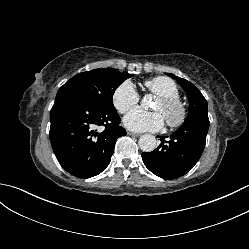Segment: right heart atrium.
Here are the masks:
<instances>
[{
  "mask_svg": "<svg viewBox=\"0 0 249 249\" xmlns=\"http://www.w3.org/2000/svg\"><path fill=\"white\" fill-rule=\"evenodd\" d=\"M139 99L140 96L130 81L122 82L112 94V104L119 113L127 112Z\"/></svg>",
  "mask_w": 249,
  "mask_h": 249,
  "instance_id": "d8ad5b80",
  "label": "right heart atrium"
}]
</instances>
